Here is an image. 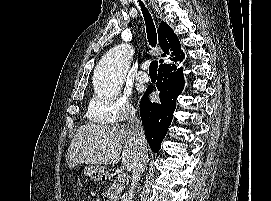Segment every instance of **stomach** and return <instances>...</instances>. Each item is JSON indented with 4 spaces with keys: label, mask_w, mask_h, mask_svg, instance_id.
<instances>
[{
    "label": "stomach",
    "mask_w": 271,
    "mask_h": 201,
    "mask_svg": "<svg viewBox=\"0 0 271 201\" xmlns=\"http://www.w3.org/2000/svg\"><path fill=\"white\" fill-rule=\"evenodd\" d=\"M84 174L93 181H100L105 178L106 170L99 165H88L84 167Z\"/></svg>",
    "instance_id": "1"
}]
</instances>
